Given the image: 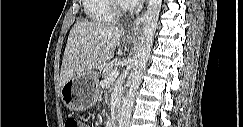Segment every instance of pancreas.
<instances>
[{"mask_svg": "<svg viewBox=\"0 0 243 127\" xmlns=\"http://www.w3.org/2000/svg\"><path fill=\"white\" fill-rule=\"evenodd\" d=\"M116 65H117V61H112L103 68L102 76L104 79L110 75V72L116 70Z\"/></svg>", "mask_w": 243, "mask_h": 127, "instance_id": "cf45deb5", "label": "pancreas"}]
</instances>
